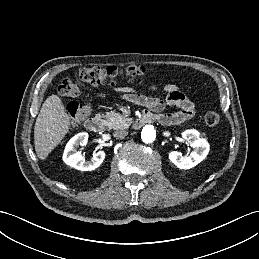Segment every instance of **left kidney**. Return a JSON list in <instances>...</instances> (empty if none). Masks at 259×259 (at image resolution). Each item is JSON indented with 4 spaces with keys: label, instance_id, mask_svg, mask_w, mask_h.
I'll return each instance as SVG.
<instances>
[{
    "label": "left kidney",
    "instance_id": "left-kidney-1",
    "mask_svg": "<svg viewBox=\"0 0 259 259\" xmlns=\"http://www.w3.org/2000/svg\"><path fill=\"white\" fill-rule=\"evenodd\" d=\"M182 137L194 149L189 156H183L178 151L169 153V160L180 169H190L203 161L209 153L210 147L206 139L200 137V133L194 129L185 130Z\"/></svg>",
    "mask_w": 259,
    "mask_h": 259
}]
</instances>
